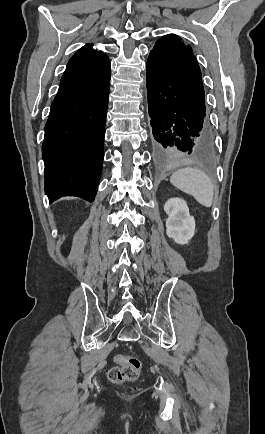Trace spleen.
<instances>
[{"instance_id": "1", "label": "spleen", "mask_w": 265, "mask_h": 434, "mask_svg": "<svg viewBox=\"0 0 265 434\" xmlns=\"http://www.w3.org/2000/svg\"><path fill=\"white\" fill-rule=\"evenodd\" d=\"M171 184L179 188L185 194L193 196L199 204L210 208L213 204L214 188L213 184L202 170L198 168H182L174 172L170 178Z\"/></svg>"}]
</instances>
